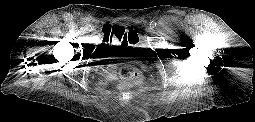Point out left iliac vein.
<instances>
[{"mask_svg": "<svg viewBox=\"0 0 255 122\" xmlns=\"http://www.w3.org/2000/svg\"><path fill=\"white\" fill-rule=\"evenodd\" d=\"M148 33L154 34V33H155L154 28H153V27H149V28H148Z\"/></svg>", "mask_w": 255, "mask_h": 122, "instance_id": "left-iliac-vein-1", "label": "left iliac vein"}]
</instances>
